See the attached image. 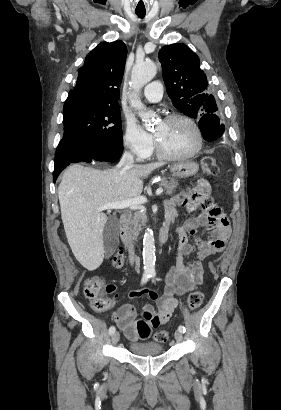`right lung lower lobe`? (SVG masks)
I'll list each match as a JSON object with an SVG mask.
<instances>
[{"label": "right lung lower lobe", "instance_id": "1", "mask_svg": "<svg viewBox=\"0 0 281 410\" xmlns=\"http://www.w3.org/2000/svg\"><path fill=\"white\" fill-rule=\"evenodd\" d=\"M121 146H89L64 151L55 157L54 182L61 171L71 163L106 161L114 162L121 157Z\"/></svg>", "mask_w": 281, "mask_h": 410}]
</instances>
